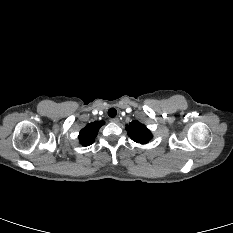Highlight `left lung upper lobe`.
<instances>
[{
  "instance_id": "5c2ea615",
  "label": "left lung upper lobe",
  "mask_w": 233,
  "mask_h": 233,
  "mask_svg": "<svg viewBox=\"0 0 233 233\" xmlns=\"http://www.w3.org/2000/svg\"><path fill=\"white\" fill-rule=\"evenodd\" d=\"M126 129L128 130V135L131 139L140 144L148 143L153 137L149 129L136 120L127 125Z\"/></svg>"
}]
</instances>
